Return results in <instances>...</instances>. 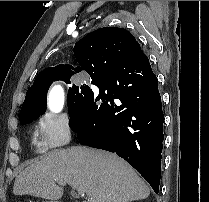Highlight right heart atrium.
Here are the masks:
<instances>
[{
    "instance_id": "right-heart-atrium-1",
    "label": "right heart atrium",
    "mask_w": 209,
    "mask_h": 202,
    "mask_svg": "<svg viewBox=\"0 0 209 202\" xmlns=\"http://www.w3.org/2000/svg\"><path fill=\"white\" fill-rule=\"evenodd\" d=\"M36 149L47 151L62 147L72 138V128L67 116L46 113L36 121L34 128Z\"/></svg>"
}]
</instances>
